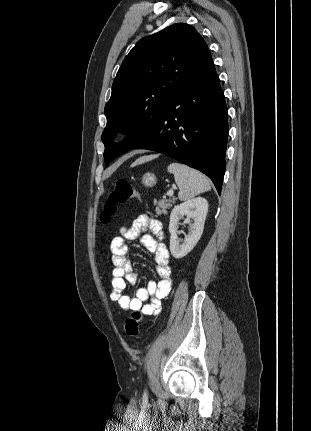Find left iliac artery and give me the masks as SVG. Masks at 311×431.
Returning a JSON list of instances; mask_svg holds the SVG:
<instances>
[{
    "mask_svg": "<svg viewBox=\"0 0 311 431\" xmlns=\"http://www.w3.org/2000/svg\"><path fill=\"white\" fill-rule=\"evenodd\" d=\"M143 401H147V391L146 390L144 391V394H143Z\"/></svg>",
    "mask_w": 311,
    "mask_h": 431,
    "instance_id": "44dca946",
    "label": "left iliac artery"
}]
</instances>
